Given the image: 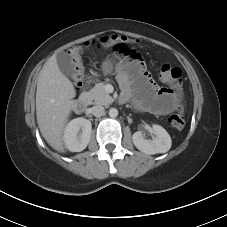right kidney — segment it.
Returning a JSON list of instances; mask_svg holds the SVG:
<instances>
[{"mask_svg":"<svg viewBox=\"0 0 227 227\" xmlns=\"http://www.w3.org/2000/svg\"><path fill=\"white\" fill-rule=\"evenodd\" d=\"M81 133L79 134V131ZM91 122L83 117L71 120L64 129V143L71 152H81L89 144L91 138Z\"/></svg>","mask_w":227,"mask_h":227,"instance_id":"obj_1","label":"right kidney"}]
</instances>
